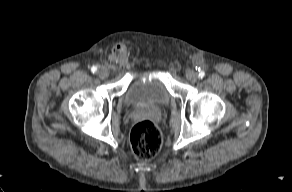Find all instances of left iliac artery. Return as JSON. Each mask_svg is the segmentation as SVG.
<instances>
[{
    "mask_svg": "<svg viewBox=\"0 0 292 192\" xmlns=\"http://www.w3.org/2000/svg\"><path fill=\"white\" fill-rule=\"evenodd\" d=\"M198 76L200 78H203L205 76V72L204 71H200L199 74H198Z\"/></svg>",
    "mask_w": 292,
    "mask_h": 192,
    "instance_id": "left-iliac-artery-1",
    "label": "left iliac artery"
}]
</instances>
